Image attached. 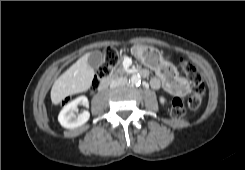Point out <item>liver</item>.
I'll return each instance as SVG.
<instances>
[{
    "label": "liver",
    "instance_id": "1",
    "mask_svg": "<svg viewBox=\"0 0 245 170\" xmlns=\"http://www.w3.org/2000/svg\"><path fill=\"white\" fill-rule=\"evenodd\" d=\"M89 55H83L57 78L50 95L53 104L57 105L66 97L85 92L91 87L95 72L87 63Z\"/></svg>",
    "mask_w": 245,
    "mask_h": 170
}]
</instances>
